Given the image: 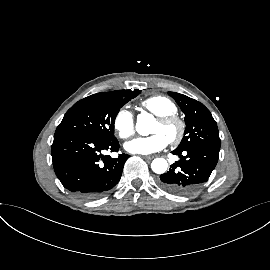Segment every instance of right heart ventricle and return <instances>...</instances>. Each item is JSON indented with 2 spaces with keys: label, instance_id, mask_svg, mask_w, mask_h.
Listing matches in <instances>:
<instances>
[{
  "label": "right heart ventricle",
  "instance_id": "1",
  "mask_svg": "<svg viewBox=\"0 0 270 270\" xmlns=\"http://www.w3.org/2000/svg\"><path fill=\"white\" fill-rule=\"evenodd\" d=\"M141 106L157 117L177 114L178 112L177 105L171 99L161 95L144 99Z\"/></svg>",
  "mask_w": 270,
  "mask_h": 270
}]
</instances>
